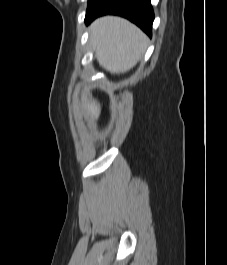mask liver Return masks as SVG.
<instances>
[{
  "instance_id": "obj_1",
  "label": "liver",
  "mask_w": 227,
  "mask_h": 265,
  "mask_svg": "<svg viewBox=\"0 0 227 265\" xmlns=\"http://www.w3.org/2000/svg\"><path fill=\"white\" fill-rule=\"evenodd\" d=\"M90 40L101 67L111 74L125 73L142 58L148 37L134 24L117 16H104L90 26ZM91 117L100 115V104L95 100L83 102Z\"/></svg>"
}]
</instances>
